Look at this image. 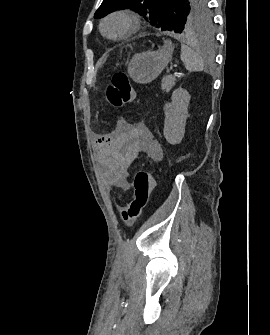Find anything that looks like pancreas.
Segmentation results:
<instances>
[{
  "label": "pancreas",
  "instance_id": "pancreas-1",
  "mask_svg": "<svg viewBox=\"0 0 270 335\" xmlns=\"http://www.w3.org/2000/svg\"><path fill=\"white\" fill-rule=\"evenodd\" d=\"M176 76H165L162 80L161 88L164 92H170L171 88L175 86Z\"/></svg>",
  "mask_w": 270,
  "mask_h": 335
}]
</instances>
